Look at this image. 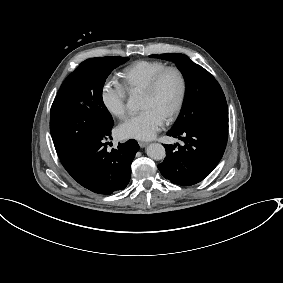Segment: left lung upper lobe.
<instances>
[{
	"mask_svg": "<svg viewBox=\"0 0 283 283\" xmlns=\"http://www.w3.org/2000/svg\"><path fill=\"white\" fill-rule=\"evenodd\" d=\"M173 61L186 82V96L180 115L171 131L197 126L228 124V107L221 86L204 68L184 54L152 55Z\"/></svg>",
	"mask_w": 283,
	"mask_h": 283,
	"instance_id": "left-lung-upper-lobe-1",
	"label": "left lung upper lobe"
}]
</instances>
